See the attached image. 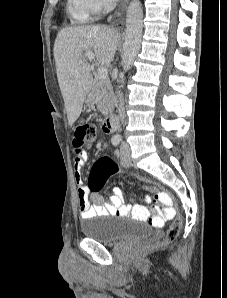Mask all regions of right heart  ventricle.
Masks as SVG:
<instances>
[{"instance_id": "e07e8e85", "label": "right heart ventricle", "mask_w": 227, "mask_h": 298, "mask_svg": "<svg viewBox=\"0 0 227 298\" xmlns=\"http://www.w3.org/2000/svg\"><path fill=\"white\" fill-rule=\"evenodd\" d=\"M68 11L78 21H87L89 16L86 12L81 10L73 0H68Z\"/></svg>"}]
</instances>
